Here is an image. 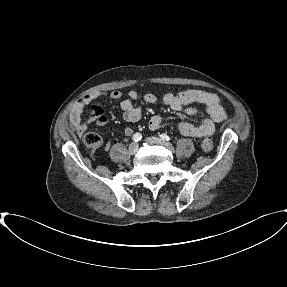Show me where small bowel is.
I'll return each instance as SVG.
<instances>
[{"label": "small bowel", "mask_w": 287, "mask_h": 287, "mask_svg": "<svg viewBox=\"0 0 287 287\" xmlns=\"http://www.w3.org/2000/svg\"><path fill=\"white\" fill-rule=\"evenodd\" d=\"M108 97L113 100H120L122 93L120 91L96 92L85 95L76 103L70 114L71 126L80 134H83L89 123L95 121L98 126H106L109 124V118L104 114L101 107L92 105V110L89 115L83 119L82 114L87 105L98 98ZM138 94L134 90L127 93V99L120 101L122 117L127 122H137L141 118V109L135 104ZM146 103H154L156 96L152 93L144 95ZM162 100L175 111H185L189 115L196 114L199 111V106H203L206 111V117L202 118L197 123L181 121L177 124L178 130L185 136L192 138H204L211 136L218 123L226 118V113L221 106L219 98L211 93H206L199 90H188L179 94L166 93ZM163 122V118L159 115L152 116L149 120V128L156 130ZM124 133L127 136L132 135L133 129L126 127ZM109 148V145H106Z\"/></svg>", "instance_id": "1"}]
</instances>
